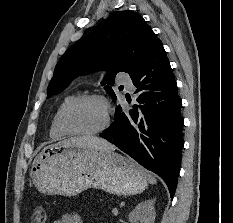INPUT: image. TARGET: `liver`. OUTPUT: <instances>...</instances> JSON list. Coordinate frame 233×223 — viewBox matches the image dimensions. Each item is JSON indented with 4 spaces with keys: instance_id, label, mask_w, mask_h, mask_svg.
<instances>
[{
    "instance_id": "6515ba94",
    "label": "liver",
    "mask_w": 233,
    "mask_h": 223,
    "mask_svg": "<svg viewBox=\"0 0 233 223\" xmlns=\"http://www.w3.org/2000/svg\"><path fill=\"white\" fill-rule=\"evenodd\" d=\"M60 145L67 143V145H77V147H88V149H101V151H114L115 145L109 143L103 137L97 135H79V137H70L67 141H58Z\"/></svg>"
}]
</instances>
